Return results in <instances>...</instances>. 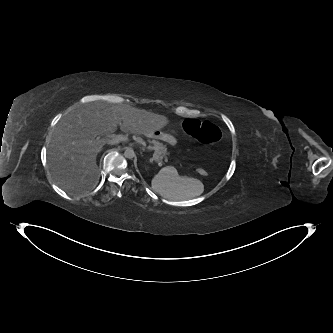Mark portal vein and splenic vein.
<instances>
[{
  "label": "portal vein and splenic vein",
  "instance_id": "portal-vein-and-splenic-vein-1",
  "mask_svg": "<svg viewBox=\"0 0 333 333\" xmlns=\"http://www.w3.org/2000/svg\"><path fill=\"white\" fill-rule=\"evenodd\" d=\"M128 138L125 135H112L111 141L114 142H121V141H127ZM151 161L158 162L159 165H162V163L159 161V158L156 156V153H154L153 157L151 158Z\"/></svg>",
  "mask_w": 333,
  "mask_h": 333
}]
</instances>
